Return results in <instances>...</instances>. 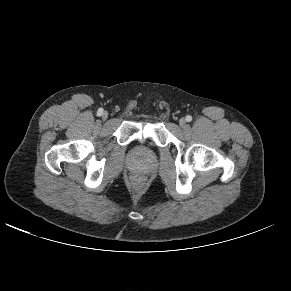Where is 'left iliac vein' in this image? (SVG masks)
<instances>
[{
    "label": "left iliac vein",
    "instance_id": "4c4485c4",
    "mask_svg": "<svg viewBox=\"0 0 291 291\" xmlns=\"http://www.w3.org/2000/svg\"><path fill=\"white\" fill-rule=\"evenodd\" d=\"M179 125L182 127V128H185L186 127V120L184 118H181L179 120Z\"/></svg>",
    "mask_w": 291,
    "mask_h": 291
}]
</instances>
